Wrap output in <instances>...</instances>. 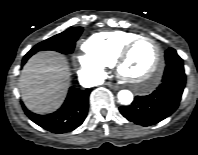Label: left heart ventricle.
<instances>
[{
	"label": "left heart ventricle",
	"mask_w": 198,
	"mask_h": 155,
	"mask_svg": "<svg viewBox=\"0 0 198 155\" xmlns=\"http://www.w3.org/2000/svg\"><path fill=\"white\" fill-rule=\"evenodd\" d=\"M156 60V49L152 42L137 43L122 65V71L134 80H143L151 73Z\"/></svg>",
	"instance_id": "1"
}]
</instances>
